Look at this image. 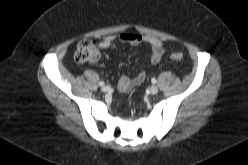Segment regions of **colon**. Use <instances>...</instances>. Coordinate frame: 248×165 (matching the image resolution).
I'll return each mask as SVG.
<instances>
[{"label":"colon","instance_id":"5ec220e1","mask_svg":"<svg viewBox=\"0 0 248 165\" xmlns=\"http://www.w3.org/2000/svg\"><path fill=\"white\" fill-rule=\"evenodd\" d=\"M74 58L78 63H94L99 58V51L95 41L82 39L78 42ZM173 61L179 62L183 59V54L175 52L171 55Z\"/></svg>","mask_w":248,"mask_h":165}]
</instances>
